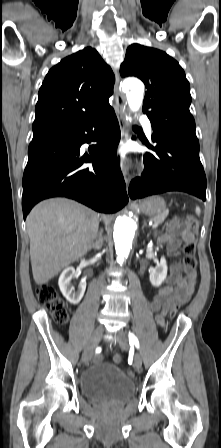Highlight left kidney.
<instances>
[{"instance_id": "5707ae66", "label": "left kidney", "mask_w": 221, "mask_h": 448, "mask_svg": "<svg viewBox=\"0 0 221 448\" xmlns=\"http://www.w3.org/2000/svg\"><path fill=\"white\" fill-rule=\"evenodd\" d=\"M167 276V263L164 257L160 263L150 272V282L154 287H159Z\"/></svg>"}]
</instances>
